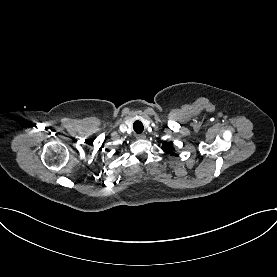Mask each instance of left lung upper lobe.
<instances>
[{
	"instance_id": "obj_1",
	"label": "left lung upper lobe",
	"mask_w": 277,
	"mask_h": 277,
	"mask_svg": "<svg viewBox=\"0 0 277 277\" xmlns=\"http://www.w3.org/2000/svg\"><path fill=\"white\" fill-rule=\"evenodd\" d=\"M172 150H174L172 143H164L163 144V151L164 152L172 154Z\"/></svg>"
}]
</instances>
